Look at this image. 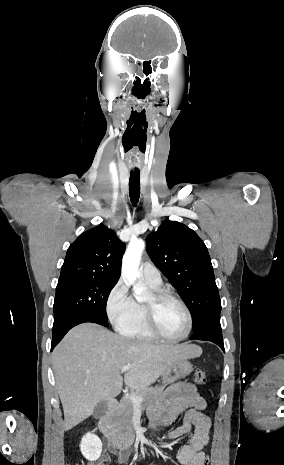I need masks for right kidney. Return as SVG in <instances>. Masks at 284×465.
<instances>
[{"mask_svg": "<svg viewBox=\"0 0 284 465\" xmlns=\"http://www.w3.org/2000/svg\"><path fill=\"white\" fill-rule=\"evenodd\" d=\"M80 451L88 461H97L102 453V443L97 435L87 433L82 437Z\"/></svg>", "mask_w": 284, "mask_h": 465, "instance_id": "1", "label": "right kidney"}]
</instances>
